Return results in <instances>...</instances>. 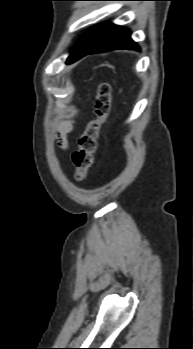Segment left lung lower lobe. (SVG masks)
Here are the masks:
<instances>
[{"label": "left lung lower lobe", "mask_w": 193, "mask_h": 349, "mask_svg": "<svg viewBox=\"0 0 193 349\" xmlns=\"http://www.w3.org/2000/svg\"><path fill=\"white\" fill-rule=\"evenodd\" d=\"M130 35V31L120 26L107 22L97 24L84 35L66 63H73L87 54L98 52L115 49L139 50Z\"/></svg>", "instance_id": "obj_1"}]
</instances>
